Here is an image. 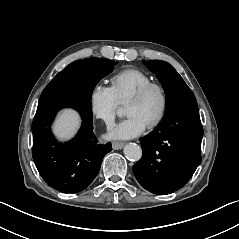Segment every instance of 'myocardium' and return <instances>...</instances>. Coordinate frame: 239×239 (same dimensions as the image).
Here are the masks:
<instances>
[{
    "label": "myocardium",
    "instance_id": "1",
    "mask_svg": "<svg viewBox=\"0 0 239 239\" xmlns=\"http://www.w3.org/2000/svg\"><path fill=\"white\" fill-rule=\"evenodd\" d=\"M152 90H157L159 91L160 95H161V99H162V105H161V109L159 114L156 116V118L148 125L149 129H154L157 126H159L163 120L165 119L167 113H168V109H169V94L168 91L166 89V87L160 83V82H156V81H151L145 85H143L142 87H140L127 101V104L131 103V102H138L143 100L149 92H151Z\"/></svg>",
    "mask_w": 239,
    "mask_h": 239
}]
</instances>
